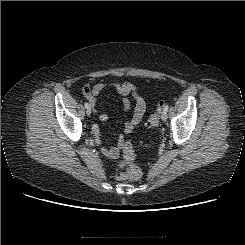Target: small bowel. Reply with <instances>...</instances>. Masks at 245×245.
Segmentation results:
<instances>
[{
  "mask_svg": "<svg viewBox=\"0 0 245 245\" xmlns=\"http://www.w3.org/2000/svg\"><path fill=\"white\" fill-rule=\"evenodd\" d=\"M107 87H113L122 97L121 102L123 105V110L127 111L130 108V102L125 97L129 93H131L135 99V107L134 112L131 118L124 124L123 132L125 134L131 133L134 128L140 123L142 120L145 111H146V97L142 94H139L136 87L131 83H99L94 85L89 94H88V101L90 105L95 108L96 105V96H98L104 89ZM98 117L101 121L107 120V115L103 112H98ZM94 137L95 143L100 146V135L98 127H94ZM123 144V137L120 135L118 146L113 147H101V153L110 159H114L119 154V146Z\"/></svg>",
  "mask_w": 245,
  "mask_h": 245,
  "instance_id": "small-bowel-1",
  "label": "small bowel"
}]
</instances>
